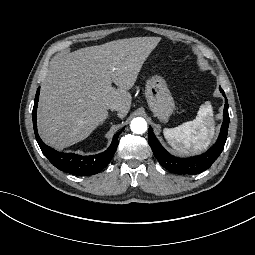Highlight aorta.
<instances>
[{
	"label": "aorta",
	"mask_w": 255,
	"mask_h": 255,
	"mask_svg": "<svg viewBox=\"0 0 255 255\" xmlns=\"http://www.w3.org/2000/svg\"><path fill=\"white\" fill-rule=\"evenodd\" d=\"M130 128L133 133L143 134L147 130V122L141 117L134 118L131 121Z\"/></svg>",
	"instance_id": "762f6f07"
}]
</instances>
